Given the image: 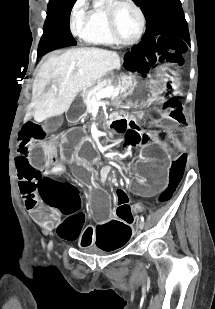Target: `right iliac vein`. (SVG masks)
<instances>
[{
    "instance_id": "63e3f726",
    "label": "right iliac vein",
    "mask_w": 215,
    "mask_h": 309,
    "mask_svg": "<svg viewBox=\"0 0 215 309\" xmlns=\"http://www.w3.org/2000/svg\"><path fill=\"white\" fill-rule=\"evenodd\" d=\"M52 248H53V241H50L49 244H48V249L52 250Z\"/></svg>"
}]
</instances>
